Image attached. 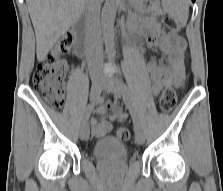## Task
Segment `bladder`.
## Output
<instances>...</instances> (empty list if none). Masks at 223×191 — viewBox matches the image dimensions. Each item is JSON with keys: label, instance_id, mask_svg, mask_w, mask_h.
Wrapping results in <instances>:
<instances>
[{"label": "bladder", "instance_id": "1", "mask_svg": "<svg viewBox=\"0 0 223 191\" xmlns=\"http://www.w3.org/2000/svg\"><path fill=\"white\" fill-rule=\"evenodd\" d=\"M93 154L100 160L121 161L127 157L128 149L121 139L107 136L96 142Z\"/></svg>", "mask_w": 223, "mask_h": 191}]
</instances>
